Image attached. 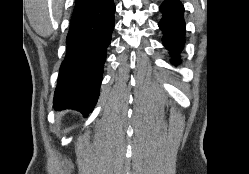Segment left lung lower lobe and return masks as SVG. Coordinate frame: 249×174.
<instances>
[{
  "instance_id": "obj_1",
  "label": "left lung lower lobe",
  "mask_w": 249,
  "mask_h": 174,
  "mask_svg": "<svg viewBox=\"0 0 249 174\" xmlns=\"http://www.w3.org/2000/svg\"><path fill=\"white\" fill-rule=\"evenodd\" d=\"M163 18L159 27L163 31V44L176 62L177 55L184 44L185 22L183 19L184 7L179 0H165L160 6Z\"/></svg>"
}]
</instances>
